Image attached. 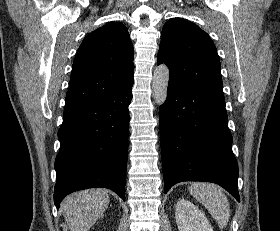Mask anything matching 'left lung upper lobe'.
I'll return each mask as SVG.
<instances>
[{"instance_id":"1","label":"left lung upper lobe","mask_w":280,"mask_h":231,"mask_svg":"<svg viewBox=\"0 0 280 231\" xmlns=\"http://www.w3.org/2000/svg\"><path fill=\"white\" fill-rule=\"evenodd\" d=\"M157 62L168 66L171 83L222 91L216 47L206 32L187 20L172 18L165 23Z\"/></svg>"}]
</instances>
